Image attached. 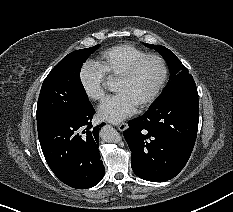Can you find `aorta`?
Here are the masks:
<instances>
[{"label":"aorta","instance_id":"762f6f07","mask_svg":"<svg viewBox=\"0 0 233 212\" xmlns=\"http://www.w3.org/2000/svg\"><path fill=\"white\" fill-rule=\"evenodd\" d=\"M109 89H111L110 83H107ZM101 138L108 143H118L121 141L119 133L110 125H106L101 129Z\"/></svg>","mask_w":233,"mask_h":212}]
</instances>
